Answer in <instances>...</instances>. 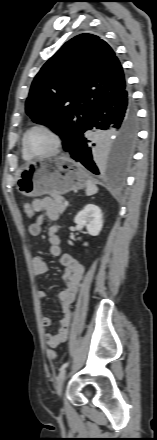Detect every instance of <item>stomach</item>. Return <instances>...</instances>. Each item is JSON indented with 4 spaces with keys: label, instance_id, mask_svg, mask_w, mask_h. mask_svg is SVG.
<instances>
[{
    "label": "stomach",
    "instance_id": "obj_1",
    "mask_svg": "<svg viewBox=\"0 0 157 440\" xmlns=\"http://www.w3.org/2000/svg\"><path fill=\"white\" fill-rule=\"evenodd\" d=\"M86 184L87 172L80 163L56 156L28 163L19 173L17 190L27 197L60 196Z\"/></svg>",
    "mask_w": 157,
    "mask_h": 440
}]
</instances>
